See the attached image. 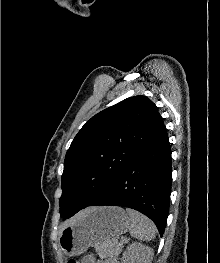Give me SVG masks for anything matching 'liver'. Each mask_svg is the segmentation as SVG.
Here are the masks:
<instances>
[{
  "mask_svg": "<svg viewBox=\"0 0 220 263\" xmlns=\"http://www.w3.org/2000/svg\"><path fill=\"white\" fill-rule=\"evenodd\" d=\"M88 210V209H87ZM84 210L82 212H80L79 214H77L76 216H74L72 219L66 221L62 226H61V230L64 229L65 227L69 226L70 224H72L76 219H78L85 211Z\"/></svg>",
  "mask_w": 220,
  "mask_h": 263,
  "instance_id": "obj_1",
  "label": "liver"
}]
</instances>
